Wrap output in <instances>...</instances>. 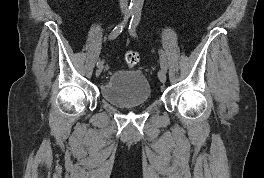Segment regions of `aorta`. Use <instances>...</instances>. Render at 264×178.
I'll return each instance as SVG.
<instances>
[{"label":"aorta","instance_id":"762f6f07","mask_svg":"<svg viewBox=\"0 0 264 178\" xmlns=\"http://www.w3.org/2000/svg\"><path fill=\"white\" fill-rule=\"evenodd\" d=\"M144 0H131L130 9L132 11L140 12L143 7Z\"/></svg>","mask_w":264,"mask_h":178}]
</instances>
